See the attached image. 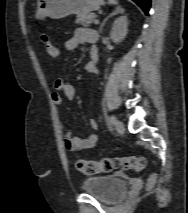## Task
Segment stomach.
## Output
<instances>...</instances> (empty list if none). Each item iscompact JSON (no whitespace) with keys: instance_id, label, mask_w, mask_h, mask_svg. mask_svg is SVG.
I'll return each mask as SVG.
<instances>
[{"instance_id":"stomach-1","label":"stomach","mask_w":188,"mask_h":213,"mask_svg":"<svg viewBox=\"0 0 188 213\" xmlns=\"http://www.w3.org/2000/svg\"><path fill=\"white\" fill-rule=\"evenodd\" d=\"M103 0H38L35 18L44 20L64 18L71 14L85 15L98 10Z\"/></svg>"}]
</instances>
